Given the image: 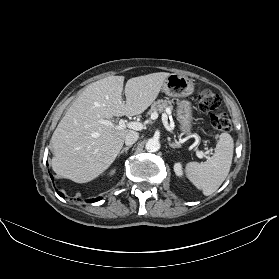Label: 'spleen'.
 Segmentation results:
<instances>
[{"label": "spleen", "mask_w": 279, "mask_h": 279, "mask_svg": "<svg viewBox=\"0 0 279 279\" xmlns=\"http://www.w3.org/2000/svg\"><path fill=\"white\" fill-rule=\"evenodd\" d=\"M234 142L230 134L222 133L211 158L206 162H189L185 172L187 178L205 196L213 194L226 179L233 158Z\"/></svg>", "instance_id": "obj_1"}]
</instances>
